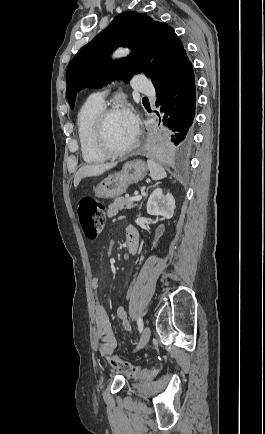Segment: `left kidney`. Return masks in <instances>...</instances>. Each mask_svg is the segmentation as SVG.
<instances>
[{
	"mask_svg": "<svg viewBox=\"0 0 265 434\" xmlns=\"http://www.w3.org/2000/svg\"><path fill=\"white\" fill-rule=\"evenodd\" d=\"M175 200L172 194H163L161 188L152 192L147 202V214L150 216H163L166 220L173 218L175 210Z\"/></svg>",
	"mask_w": 265,
	"mask_h": 434,
	"instance_id": "left-kidney-1",
	"label": "left kidney"
}]
</instances>
